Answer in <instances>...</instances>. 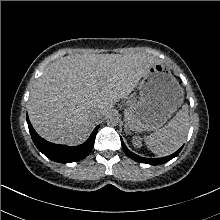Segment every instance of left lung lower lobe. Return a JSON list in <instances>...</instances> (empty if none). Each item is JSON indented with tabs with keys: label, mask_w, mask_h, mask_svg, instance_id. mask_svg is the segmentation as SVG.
I'll return each mask as SVG.
<instances>
[{
	"label": "left lung lower lobe",
	"mask_w": 220,
	"mask_h": 220,
	"mask_svg": "<svg viewBox=\"0 0 220 220\" xmlns=\"http://www.w3.org/2000/svg\"><path fill=\"white\" fill-rule=\"evenodd\" d=\"M121 144H122V148L124 150V152L130 157L132 158L133 160L137 161V162H141V163H146V164H151V165H160V164H164L166 162H168L169 160L173 159L174 157H176L179 152L182 150V147L176 151L175 153L169 155V156H166V157H163V158H143V157H140L134 153H132L124 144V142L122 141L121 139Z\"/></svg>",
	"instance_id": "0a47b994"
}]
</instances>
